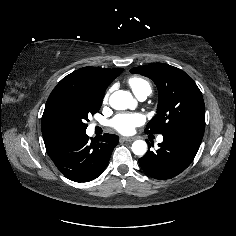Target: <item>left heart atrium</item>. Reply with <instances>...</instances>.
<instances>
[{
    "label": "left heart atrium",
    "mask_w": 236,
    "mask_h": 236,
    "mask_svg": "<svg viewBox=\"0 0 236 236\" xmlns=\"http://www.w3.org/2000/svg\"><path fill=\"white\" fill-rule=\"evenodd\" d=\"M144 122V117L138 113H121L116 115L112 121V127L121 134H130L137 126Z\"/></svg>",
    "instance_id": "1"
}]
</instances>
